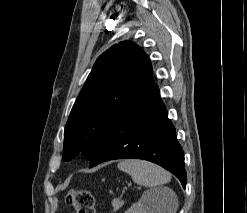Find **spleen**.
<instances>
[{"label": "spleen", "instance_id": "3e777b00", "mask_svg": "<svg viewBox=\"0 0 247 213\" xmlns=\"http://www.w3.org/2000/svg\"><path fill=\"white\" fill-rule=\"evenodd\" d=\"M117 166L119 170L128 173L138 185L155 187L166 184L171 180L169 172L156 164L144 160H124ZM177 207L178 202L176 200L172 213H175Z\"/></svg>", "mask_w": 247, "mask_h": 213}]
</instances>
